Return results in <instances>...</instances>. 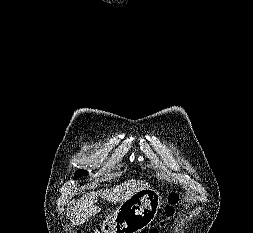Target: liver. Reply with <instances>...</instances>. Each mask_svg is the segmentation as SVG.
<instances>
[{
    "mask_svg": "<svg viewBox=\"0 0 253 233\" xmlns=\"http://www.w3.org/2000/svg\"><path fill=\"white\" fill-rule=\"evenodd\" d=\"M148 187L149 184L146 181L132 179L111 189L86 193L73 208L72 224L81 225L100 212L101 209L95 205L99 196L110 203H122L136 192Z\"/></svg>",
    "mask_w": 253,
    "mask_h": 233,
    "instance_id": "liver-1",
    "label": "liver"
}]
</instances>
